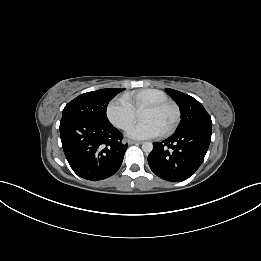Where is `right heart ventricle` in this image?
Segmentation results:
<instances>
[{
	"label": "right heart ventricle",
	"instance_id": "right-heart-ventricle-1",
	"mask_svg": "<svg viewBox=\"0 0 261 261\" xmlns=\"http://www.w3.org/2000/svg\"><path fill=\"white\" fill-rule=\"evenodd\" d=\"M125 98L133 106L135 110H140L150 103L167 101V95L158 89H141L128 93Z\"/></svg>",
	"mask_w": 261,
	"mask_h": 261
}]
</instances>
